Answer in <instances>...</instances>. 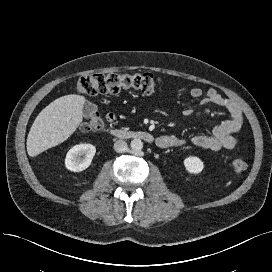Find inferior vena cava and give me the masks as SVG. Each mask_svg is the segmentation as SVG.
Instances as JSON below:
<instances>
[{"instance_id": "1", "label": "inferior vena cava", "mask_w": 272, "mask_h": 272, "mask_svg": "<svg viewBox=\"0 0 272 272\" xmlns=\"http://www.w3.org/2000/svg\"><path fill=\"white\" fill-rule=\"evenodd\" d=\"M128 149L127 143L124 140H117L114 143V150L118 153L126 152Z\"/></svg>"}]
</instances>
